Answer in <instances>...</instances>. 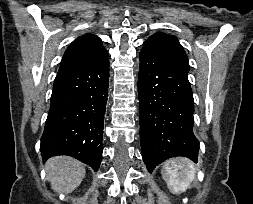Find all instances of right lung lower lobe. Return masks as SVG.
<instances>
[{"label": "right lung lower lobe", "instance_id": "obj_1", "mask_svg": "<svg viewBox=\"0 0 253 204\" xmlns=\"http://www.w3.org/2000/svg\"><path fill=\"white\" fill-rule=\"evenodd\" d=\"M106 50L58 73L41 138L44 160L69 155L98 170L109 86Z\"/></svg>", "mask_w": 253, "mask_h": 204}]
</instances>
